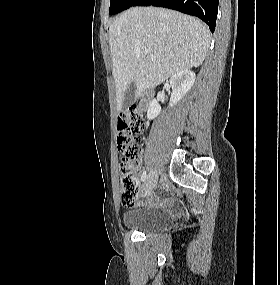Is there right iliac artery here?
<instances>
[{
    "mask_svg": "<svg viewBox=\"0 0 280 285\" xmlns=\"http://www.w3.org/2000/svg\"><path fill=\"white\" fill-rule=\"evenodd\" d=\"M146 176H147L146 171H144V172L142 173V175H141L142 181H145Z\"/></svg>",
    "mask_w": 280,
    "mask_h": 285,
    "instance_id": "82829eb1",
    "label": "right iliac artery"
}]
</instances>
